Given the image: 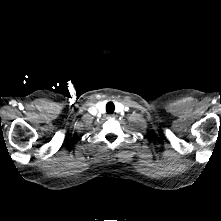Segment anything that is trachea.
Instances as JSON below:
<instances>
[{
    "mask_svg": "<svg viewBox=\"0 0 221 221\" xmlns=\"http://www.w3.org/2000/svg\"><path fill=\"white\" fill-rule=\"evenodd\" d=\"M115 110V106L112 102H108L106 105V111L108 114H112Z\"/></svg>",
    "mask_w": 221,
    "mask_h": 221,
    "instance_id": "3493384b",
    "label": "trachea"
}]
</instances>
